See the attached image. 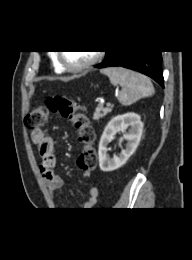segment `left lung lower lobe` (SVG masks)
<instances>
[{
    "mask_svg": "<svg viewBox=\"0 0 192 260\" xmlns=\"http://www.w3.org/2000/svg\"><path fill=\"white\" fill-rule=\"evenodd\" d=\"M121 66L141 72L164 87L160 50L109 51L96 68Z\"/></svg>",
    "mask_w": 192,
    "mask_h": 260,
    "instance_id": "0a47b994",
    "label": "left lung lower lobe"
}]
</instances>
